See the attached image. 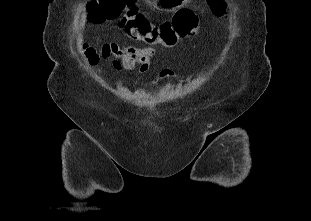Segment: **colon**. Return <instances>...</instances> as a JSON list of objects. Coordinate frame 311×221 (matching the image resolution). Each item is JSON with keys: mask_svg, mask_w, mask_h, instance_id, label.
<instances>
[{"mask_svg": "<svg viewBox=\"0 0 311 221\" xmlns=\"http://www.w3.org/2000/svg\"><path fill=\"white\" fill-rule=\"evenodd\" d=\"M208 9H211L213 17L223 19L229 17L230 11L224 10L220 2L205 0ZM88 15L83 17L85 22H93L94 26H103L104 22H114L115 17H121L118 23L121 32L137 31L135 39H144L150 47L172 46L180 38L196 35L199 25L195 16L189 11H178L172 19L164 20L160 26L150 23H139L138 18L146 14L140 10L135 0H102L94 1ZM101 8V10H95ZM85 52L91 60L105 58L112 48L108 45L98 47H86Z\"/></svg>", "mask_w": 311, "mask_h": 221, "instance_id": "1", "label": "colon"}]
</instances>
